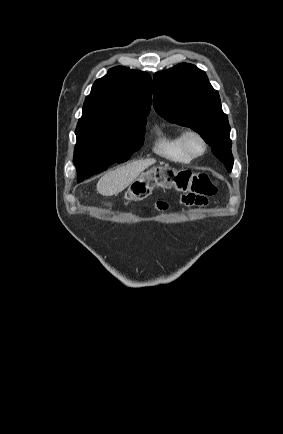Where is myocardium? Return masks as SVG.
Returning a JSON list of instances; mask_svg holds the SVG:
<instances>
[{
	"instance_id": "1",
	"label": "myocardium",
	"mask_w": 283,
	"mask_h": 434,
	"mask_svg": "<svg viewBox=\"0 0 283 434\" xmlns=\"http://www.w3.org/2000/svg\"><path fill=\"white\" fill-rule=\"evenodd\" d=\"M195 138L199 141L201 149L197 152L193 151L189 145V140ZM181 145L184 152L191 158H199L203 156L208 149V144L203 134L195 129H188L181 133Z\"/></svg>"
}]
</instances>
